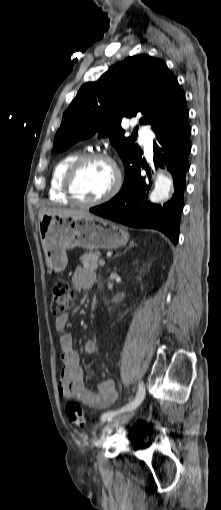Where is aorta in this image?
Wrapping results in <instances>:
<instances>
[{
  "label": "aorta",
  "mask_w": 221,
  "mask_h": 510,
  "mask_svg": "<svg viewBox=\"0 0 221 510\" xmlns=\"http://www.w3.org/2000/svg\"><path fill=\"white\" fill-rule=\"evenodd\" d=\"M171 186L172 180L168 176L159 173L155 180L154 189L150 194V201L153 203H157L159 201L167 199L170 194Z\"/></svg>",
  "instance_id": "762f6f07"
}]
</instances>
